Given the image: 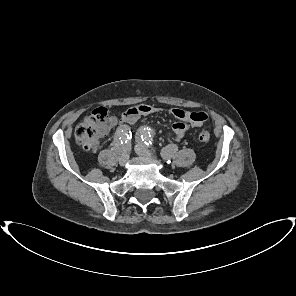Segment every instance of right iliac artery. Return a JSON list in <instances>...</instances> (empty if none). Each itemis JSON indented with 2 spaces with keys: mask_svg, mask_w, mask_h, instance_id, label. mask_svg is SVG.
<instances>
[{
  "mask_svg": "<svg viewBox=\"0 0 296 296\" xmlns=\"http://www.w3.org/2000/svg\"><path fill=\"white\" fill-rule=\"evenodd\" d=\"M129 130L128 128L125 127H121L118 129L117 133H116V142H117V146L118 149L120 151H124V139L126 138V131Z\"/></svg>",
  "mask_w": 296,
  "mask_h": 296,
  "instance_id": "82829eb1",
  "label": "right iliac artery"
}]
</instances>
